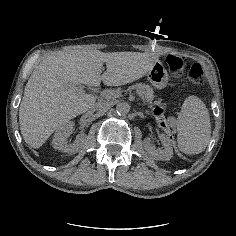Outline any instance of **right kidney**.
<instances>
[{
    "label": "right kidney",
    "instance_id": "right-kidney-1",
    "mask_svg": "<svg viewBox=\"0 0 236 236\" xmlns=\"http://www.w3.org/2000/svg\"><path fill=\"white\" fill-rule=\"evenodd\" d=\"M74 127L73 122H68L64 127H62L53 137L52 145L56 150H60L67 154H76L80 152L85 146L86 133L81 132L77 135L75 141L71 144H66L65 139L71 134Z\"/></svg>",
    "mask_w": 236,
    "mask_h": 236
}]
</instances>
